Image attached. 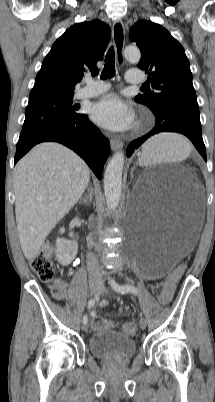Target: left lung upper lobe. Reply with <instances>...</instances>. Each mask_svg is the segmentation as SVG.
<instances>
[{
    "instance_id": "left-lung-upper-lobe-1",
    "label": "left lung upper lobe",
    "mask_w": 215,
    "mask_h": 402,
    "mask_svg": "<svg viewBox=\"0 0 215 402\" xmlns=\"http://www.w3.org/2000/svg\"><path fill=\"white\" fill-rule=\"evenodd\" d=\"M130 39L141 50L138 67L148 73L154 88L135 101L154 111L177 110L199 117L192 73L183 47L161 25L141 20L130 29Z\"/></svg>"
}]
</instances>
